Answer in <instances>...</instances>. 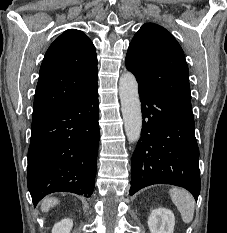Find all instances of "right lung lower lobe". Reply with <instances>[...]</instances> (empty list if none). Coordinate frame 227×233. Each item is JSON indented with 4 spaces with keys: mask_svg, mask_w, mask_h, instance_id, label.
Returning <instances> with one entry per match:
<instances>
[{
    "mask_svg": "<svg viewBox=\"0 0 227 233\" xmlns=\"http://www.w3.org/2000/svg\"><path fill=\"white\" fill-rule=\"evenodd\" d=\"M98 85L33 118L27 184L34 206L53 192L89 197L99 145Z\"/></svg>",
    "mask_w": 227,
    "mask_h": 233,
    "instance_id": "obj_1",
    "label": "right lung lower lobe"
}]
</instances>
